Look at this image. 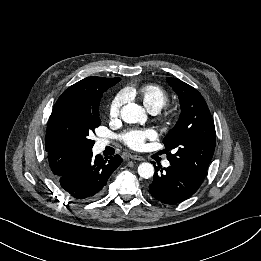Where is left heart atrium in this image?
Returning <instances> with one entry per match:
<instances>
[{"label": "left heart atrium", "instance_id": "1", "mask_svg": "<svg viewBox=\"0 0 261 261\" xmlns=\"http://www.w3.org/2000/svg\"><path fill=\"white\" fill-rule=\"evenodd\" d=\"M156 137L157 132L152 128L130 129L121 136L124 144L134 150L143 148L147 140H154Z\"/></svg>", "mask_w": 261, "mask_h": 261}]
</instances>
